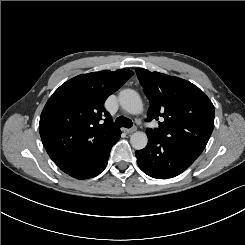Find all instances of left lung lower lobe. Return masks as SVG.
I'll return each instance as SVG.
<instances>
[{
	"label": "left lung lower lobe",
	"mask_w": 245,
	"mask_h": 245,
	"mask_svg": "<svg viewBox=\"0 0 245 245\" xmlns=\"http://www.w3.org/2000/svg\"><path fill=\"white\" fill-rule=\"evenodd\" d=\"M135 154L140 169L157 179L178 176L198 158L180 146L153 136H148L147 146Z\"/></svg>",
	"instance_id": "0a47b994"
}]
</instances>
